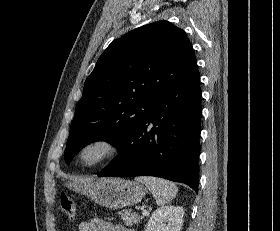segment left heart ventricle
I'll return each instance as SVG.
<instances>
[{
    "label": "left heart ventricle",
    "instance_id": "obj_1",
    "mask_svg": "<svg viewBox=\"0 0 280 231\" xmlns=\"http://www.w3.org/2000/svg\"><path fill=\"white\" fill-rule=\"evenodd\" d=\"M110 145L99 141L88 145L82 152L80 163L84 167H93L101 163L110 153Z\"/></svg>",
    "mask_w": 280,
    "mask_h": 231
}]
</instances>
